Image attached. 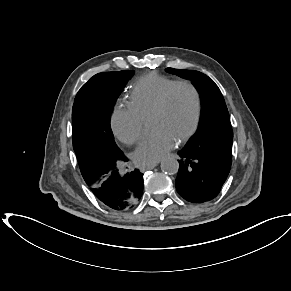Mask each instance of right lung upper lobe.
I'll use <instances>...</instances> for the list:
<instances>
[{
    "label": "right lung upper lobe",
    "instance_id": "cb5924a9",
    "mask_svg": "<svg viewBox=\"0 0 291 291\" xmlns=\"http://www.w3.org/2000/svg\"><path fill=\"white\" fill-rule=\"evenodd\" d=\"M84 180L88 184L89 187H94L95 186V183L92 182L88 177L86 179H84Z\"/></svg>",
    "mask_w": 291,
    "mask_h": 291
}]
</instances>
